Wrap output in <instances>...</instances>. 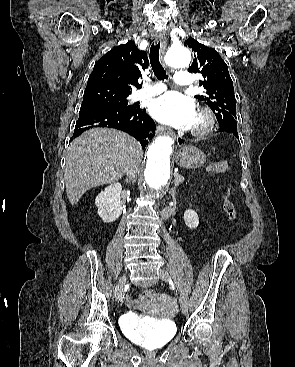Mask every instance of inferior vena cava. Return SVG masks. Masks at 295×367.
<instances>
[{"label":"inferior vena cava","instance_id":"inferior-vena-cava-1","mask_svg":"<svg viewBox=\"0 0 295 367\" xmlns=\"http://www.w3.org/2000/svg\"><path fill=\"white\" fill-rule=\"evenodd\" d=\"M137 169H138V165L133 163L130 166L127 167L126 169V175L128 176V179L132 180V179H136V175H137Z\"/></svg>","mask_w":295,"mask_h":367}]
</instances>
